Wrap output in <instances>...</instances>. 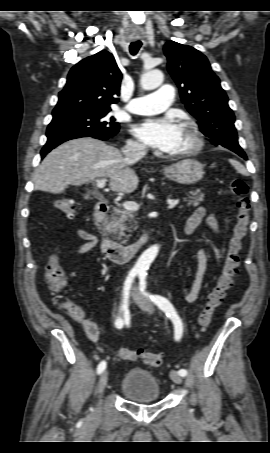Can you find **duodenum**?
<instances>
[{
    "instance_id": "duodenum-1",
    "label": "duodenum",
    "mask_w": 270,
    "mask_h": 453,
    "mask_svg": "<svg viewBox=\"0 0 270 453\" xmlns=\"http://www.w3.org/2000/svg\"><path fill=\"white\" fill-rule=\"evenodd\" d=\"M109 212V205L98 203L95 208V218L98 223L102 224ZM148 241V237L127 245L120 244L111 238L105 236L101 240L100 248L103 255L115 263H126L130 261L138 250Z\"/></svg>"
}]
</instances>
